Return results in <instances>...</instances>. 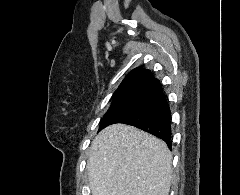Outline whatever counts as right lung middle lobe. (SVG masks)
I'll return each instance as SVG.
<instances>
[{"mask_svg": "<svg viewBox=\"0 0 240 195\" xmlns=\"http://www.w3.org/2000/svg\"><path fill=\"white\" fill-rule=\"evenodd\" d=\"M147 97V94H120L113 95V101L100 122L99 131L114 124L127 114L138 108Z\"/></svg>", "mask_w": 240, "mask_h": 195, "instance_id": "right-lung-middle-lobe-1", "label": "right lung middle lobe"}]
</instances>
